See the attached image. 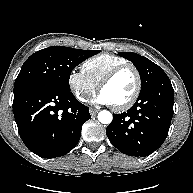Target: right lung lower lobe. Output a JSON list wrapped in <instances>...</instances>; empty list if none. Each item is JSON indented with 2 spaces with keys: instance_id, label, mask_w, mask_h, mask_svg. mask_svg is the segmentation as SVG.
<instances>
[{
  "instance_id": "obj_1",
  "label": "right lung lower lobe",
  "mask_w": 193,
  "mask_h": 193,
  "mask_svg": "<svg viewBox=\"0 0 193 193\" xmlns=\"http://www.w3.org/2000/svg\"><path fill=\"white\" fill-rule=\"evenodd\" d=\"M13 112L24 144L42 158L71 151L80 139L82 125L91 118L89 108L71 91L44 84L14 91Z\"/></svg>"
}]
</instances>
